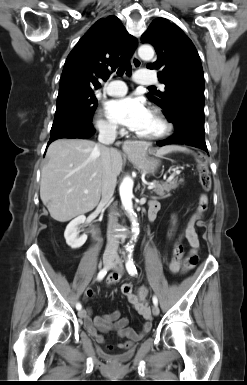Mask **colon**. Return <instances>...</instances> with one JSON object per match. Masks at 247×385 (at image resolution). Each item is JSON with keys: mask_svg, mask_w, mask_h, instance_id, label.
I'll return each instance as SVG.
<instances>
[{"mask_svg": "<svg viewBox=\"0 0 247 385\" xmlns=\"http://www.w3.org/2000/svg\"><path fill=\"white\" fill-rule=\"evenodd\" d=\"M198 172H199L200 184H201L202 189L204 191L199 197L198 211L204 212V211H206V209L208 207V197H207L205 192L209 191L211 188V176H210V172H209L208 167H207L206 158L203 156L199 157ZM183 254H184L183 245L179 241H177L174 244V248H173L174 261L177 263H180L183 259ZM197 262H198L197 255H191L187 259V263L189 265H192V266H195L197 264ZM121 291L124 295H126V294L130 293V288L128 287V285H123L121 287Z\"/></svg>", "mask_w": 247, "mask_h": 385, "instance_id": "obj_1", "label": "colon"}]
</instances>
